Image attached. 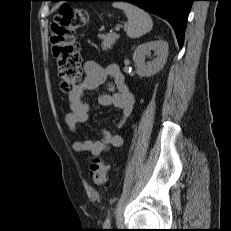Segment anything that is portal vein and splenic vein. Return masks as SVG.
I'll use <instances>...</instances> for the list:
<instances>
[{"instance_id": "1", "label": "portal vein and splenic vein", "mask_w": 231, "mask_h": 231, "mask_svg": "<svg viewBox=\"0 0 231 231\" xmlns=\"http://www.w3.org/2000/svg\"><path fill=\"white\" fill-rule=\"evenodd\" d=\"M116 31H119L120 30V26L118 25L116 28H115Z\"/></svg>"}]
</instances>
